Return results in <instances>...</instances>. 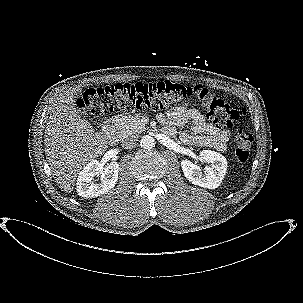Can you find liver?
<instances>
[{
  "label": "liver",
  "mask_w": 303,
  "mask_h": 303,
  "mask_svg": "<svg viewBox=\"0 0 303 303\" xmlns=\"http://www.w3.org/2000/svg\"><path fill=\"white\" fill-rule=\"evenodd\" d=\"M82 89L75 87L57 97L45 130V154L57 185L72 192L80 170L107 149L108 135L95 132L75 108Z\"/></svg>",
  "instance_id": "obj_1"
}]
</instances>
